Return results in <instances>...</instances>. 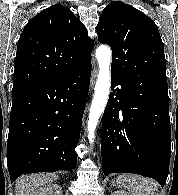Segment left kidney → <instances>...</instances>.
<instances>
[{
  "instance_id": "left-kidney-1",
  "label": "left kidney",
  "mask_w": 178,
  "mask_h": 195,
  "mask_svg": "<svg viewBox=\"0 0 178 195\" xmlns=\"http://www.w3.org/2000/svg\"><path fill=\"white\" fill-rule=\"evenodd\" d=\"M110 195H130V194L123 191V190H116V191L112 192Z\"/></svg>"
}]
</instances>
